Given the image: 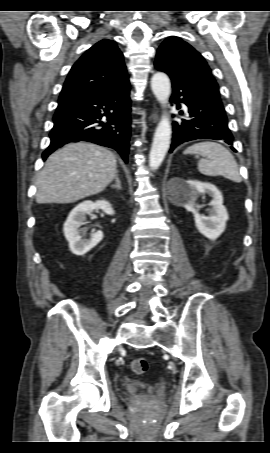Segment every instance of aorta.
I'll list each match as a JSON object with an SVG mask.
<instances>
[{
    "label": "aorta",
    "mask_w": 270,
    "mask_h": 453,
    "mask_svg": "<svg viewBox=\"0 0 270 453\" xmlns=\"http://www.w3.org/2000/svg\"><path fill=\"white\" fill-rule=\"evenodd\" d=\"M151 89L159 103L165 106L171 93V84L168 76L162 72L155 73L151 78ZM170 139L171 123L168 116L163 115L156 128L149 154L151 169L156 170L162 164L170 146Z\"/></svg>",
    "instance_id": "aorta-1"
}]
</instances>
